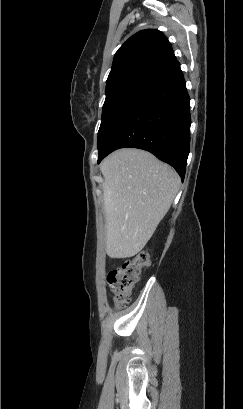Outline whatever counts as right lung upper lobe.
<instances>
[{
  "label": "right lung upper lobe",
  "instance_id": "right-lung-upper-lobe-1",
  "mask_svg": "<svg viewBox=\"0 0 243 409\" xmlns=\"http://www.w3.org/2000/svg\"><path fill=\"white\" fill-rule=\"evenodd\" d=\"M179 65L170 42L162 32L142 30L130 37L116 52L106 88L136 76L162 80Z\"/></svg>",
  "mask_w": 243,
  "mask_h": 409
}]
</instances>
